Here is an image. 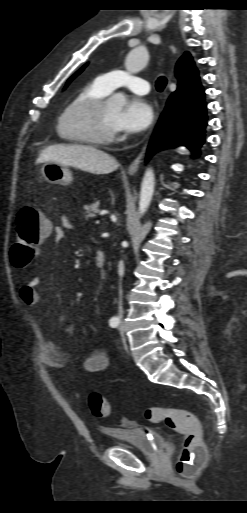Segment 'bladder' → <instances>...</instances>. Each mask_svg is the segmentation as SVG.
Here are the masks:
<instances>
[{
    "label": "bladder",
    "mask_w": 247,
    "mask_h": 513,
    "mask_svg": "<svg viewBox=\"0 0 247 513\" xmlns=\"http://www.w3.org/2000/svg\"><path fill=\"white\" fill-rule=\"evenodd\" d=\"M112 437V447L131 448L144 455H155L164 448V438L157 432L139 427L105 428Z\"/></svg>",
    "instance_id": "bladder-1"
}]
</instances>
